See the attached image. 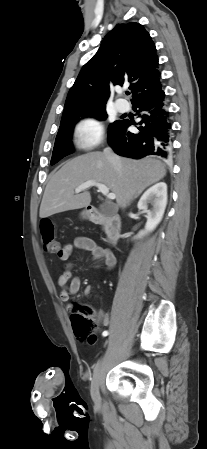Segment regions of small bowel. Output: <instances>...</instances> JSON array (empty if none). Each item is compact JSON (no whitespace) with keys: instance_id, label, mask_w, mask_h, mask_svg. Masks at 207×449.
Instances as JSON below:
<instances>
[{"instance_id":"small-bowel-1","label":"small bowel","mask_w":207,"mask_h":449,"mask_svg":"<svg viewBox=\"0 0 207 449\" xmlns=\"http://www.w3.org/2000/svg\"><path fill=\"white\" fill-rule=\"evenodd\" d=\"M74 250L91 252L96 267L105 265L108 268H113L116 264L115 257L108 249L98 246L88 237H78L73 242L65 244L59 250L58 257L61 260H67L70 258ZM74 266V263H68L56 280V284L60 290V299L66 303L68 310L72 309V304L68 302L70 297L77 294L81 286L80 279L78 277H73L72 270ZM84 294L86 296H90V287L85 288ZM97 320L103 326H108L110 324V316L104 312L97 311Z\"/></svg>"}]
</instances>
